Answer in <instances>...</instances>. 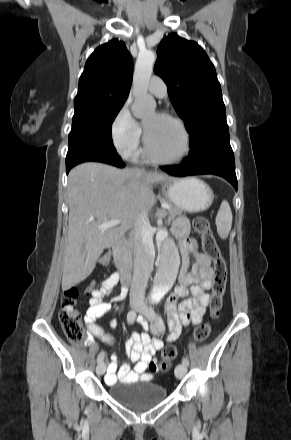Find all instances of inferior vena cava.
<instances>
[{
    "instance_id": "inferior-vena-cava-1",
    "label": "inferior vena cava",
    "mask_w": 291,
    "mask_h": 440,
    "mask_svg": "<svg viewBox=\"0 0 291 440\" xmlns=\"http://www.w3.org/2000/svg\"><path fill=\"white\" fill-rule=\"evenodd\" d=\"M134 273L130 301L144 304V292L153 269V241L147 215L139 216L133 229Z\"/></svg>"
}]
</instances>
